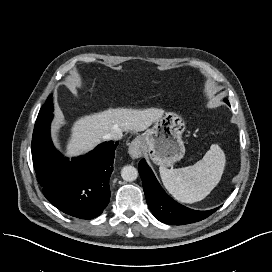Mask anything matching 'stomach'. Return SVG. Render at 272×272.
<instances>
[{
  "label": "stomach",
  "instance_id": "obj_1",
  "mask_svg": "<svg viewBox=\"0 0 272 272\" xmlns=\"http://www.w3.org/2000/svg\"><path fill=\"white\" fill-rule=\"evenodd\" d=\"M185 122L174 112H163L152 128L140 136L143 147L152 161L160 166H170L185 154L182 134Z\"/></svg>",
  "mask_w": 272,
  "mask_h": 272
}]
</instances>
